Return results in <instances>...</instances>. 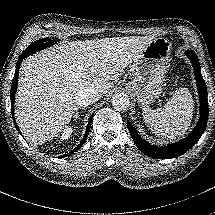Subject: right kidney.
Instances as JSON below:
<instances>
[{
    "mask_svg": "<svg viewBox=\"0 0 215 215\" xmlns=\"http://www.w3.org/2000/svg\"><path fill=\"white\" fill-rule=\"evenodd\" d=\"M70 134H71V129H66L65 131H64V133L62 134V138H64V139H66L67 137H69L70 136Z\"/></svg>",
    "mask_w": 215,
    "mask_h": 215,
    "instance_id": "1",
    "label": "right kidney"
}]
</instances>
